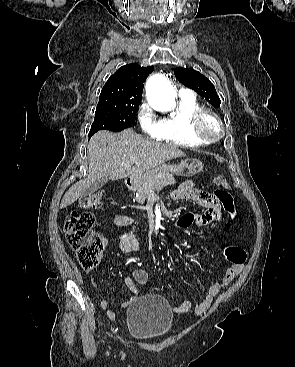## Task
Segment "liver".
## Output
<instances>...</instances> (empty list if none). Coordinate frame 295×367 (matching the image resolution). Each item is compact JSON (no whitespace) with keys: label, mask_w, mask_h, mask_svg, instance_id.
I'll return each mask as SVG.
<instances>
[{"label":"liver","mask_w":295,"mask_h":367,"mask_svg":"<svg viewBox=\"0 0 295 367\" xmlns=\"http://www.w3.org/2000/svg\"><path fill=\"white\" fill-rule=\"evenodd\" d=\"M87 155V178L69 188L60 208L74 203L100 178L118 180L138 177L169 160L184 157L185 153L177 146L154 142L132 129H126L119 134L106 130L97 132L88 143Z\"/></svg>","instance_id":"6515ba94"}]
</instances>
